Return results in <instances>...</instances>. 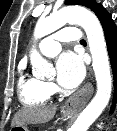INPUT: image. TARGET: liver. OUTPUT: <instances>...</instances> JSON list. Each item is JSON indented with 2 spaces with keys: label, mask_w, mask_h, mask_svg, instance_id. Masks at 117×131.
<instances>
[{
  "label": "liver",
  "mask_w": 117,
  "mask_h": 131,
  "mask_svg": "<svg viewBox=\"0 0 117 131\" xmlns=\"http://www.w3.org/2000/svg\"><path fill=\"white\" fill-rule=\"evenodd\" d=\"M56 110V106L24 108L15 114L11 125L20 126L25 125L26 123H46L54 117Z\"/></svg>",
  "instance_id": "liver-1"
}]
</instances>
